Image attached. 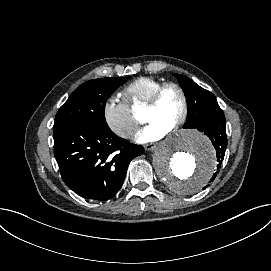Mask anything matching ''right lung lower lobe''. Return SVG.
Masks as SVG:
<instances>
[{"label": "right lung lower lobe", "mask_w": 271, "mask_h": 271, "mask_svg": "<svg viewBox=\"0 0 271 271\" xmlns=\"http://www.w3.org/2000/svg\"><path fill=\"white\" fill-rule=\"evenodd\" d=\"M140 145L116 136L108 127L72 124L54 131V155L64 183L87 200L107 201L121 189Z\"/></svg>", "instance_id": "98d812e1"}]
</instances>
